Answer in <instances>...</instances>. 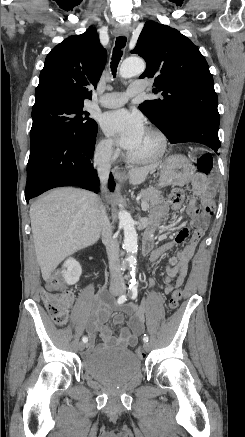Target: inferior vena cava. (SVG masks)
Segmentation results:
<instances>
[{
    "label": "inferior vena cava",
    "mask_w": 245,
    "mask_h": 437,
    "mask_svg": "<svg viewBox=\"0 0 245 437\" xmlns=\"http://www.w3.org/2000/svg\"><path fill=\"white\" fill-rule=\"evenodd\" d=\"M110 156L111 145H108L104 151L95 156L94 167L97 170L98 176L101 181V188L105 189V185L108 182L110 172ZM102 212V241L106 246V251L109 260V268L111 274V284L124 285L123 274L119 270V243L113 236L112 226L109 222V218L106 214L105 207H101Z\"/></svg>",
    "instance_id": "inferior-vena-cava-1"
}]
</instances>
